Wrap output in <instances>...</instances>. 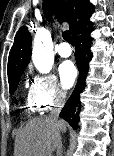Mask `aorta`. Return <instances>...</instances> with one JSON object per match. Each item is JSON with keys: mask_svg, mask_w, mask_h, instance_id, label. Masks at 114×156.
<instances>
[{"mask_svg": "<svg viewBox=\"0 0 114 156\" xmlns=\"http://www.w3.org/2000/svg\"><path fill=\"white\" fill-rule=\"evenodd\" d=\"M32 60L40 73L47 74L52 69L54 63L52 39L50 32L44 28H40L36 32Z\"/></svg>", "mask_w": 114, "mask_h": 156, "instance_id": "1", "label": "aorta"}]
</instances>
